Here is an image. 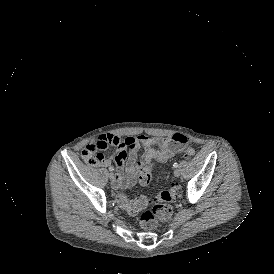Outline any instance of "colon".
Segmentation results:
<instances>
[{"instance_id": "obj_1", "label": "colon", "mask_w": 274, "mask_h": 274, "mask_svg": "<svg viewBox=\"0 0 274 274\" xmlns=\"http://www.w3.org/2000/svg\"><path fill=\"white\" fill-rule=\"evenodd\" d=\"M92 142H97L94 140ZM125 146V143H124ZM104 147H100L98 151L83 152H102ZM83 154V153H82ZM180 156L184 160L195 159L196 153L189 147H184L180 151ZM151 164L145 165L139 173L140 181L143 184L148 183L150 177L149 169ZM179 192L177 186H172L170 190L163 191L157 196H147L144 194L130 198L123 192L116 195L117 205L130 214H140L139 221L143 227L154 228L160 221H166L172 214L171 202Z\"/></svg>"}]
</instances>
